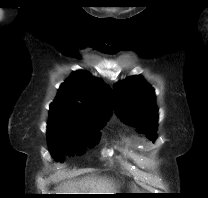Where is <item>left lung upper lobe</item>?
<instances>
[{
  "label": "left lung upper lobe",
  "instance_id": "5c2ea615",
  "mask_svg": "<svg viewBox=\"0 0 208 198\" xmlns=\"http://www.w3.org/2000/svg\"><path fill=\"white\" fill-rule=\"evenodd\" d=\"M115 89V109L120 117L154 141L158 110L153 88L141 76H133L118 82Z\"/></svg>",
  "mask_w": 208,
  "mask_h": 198
}]
</instances>
